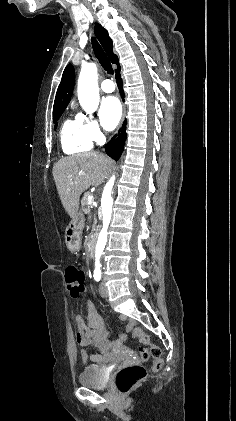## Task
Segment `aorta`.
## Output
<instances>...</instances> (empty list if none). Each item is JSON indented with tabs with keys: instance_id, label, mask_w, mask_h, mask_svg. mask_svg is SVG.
<instances>
[{
	"instance_id": "762f6f07",
	"label": "aorta",
	"mask_w": 236,
	"mask_h": 421,
	"mask_svg": "<svg viewBox=\"0 0 236 421\" xmlns=\"http://www.w3.org/2000/svg\"><path fill=\"white\" fill-rule=\"evenodd\" d=\"M98 72L97 66L94 62H87L85 66H83L79 78H78V100L86 110V112H93L96 110L99 104V86H98ZM115 176H111L109 182H107L102 198H101V206H102V229L100 231V235L98 237L97 245H96V253H95V275L96 273H101L100 271V257L105 249V245L107 243L108 237V227L110 225L111 217H112V204L113 198L111 196L113 184H114Z\"/></svg>"
}]
</instances>
